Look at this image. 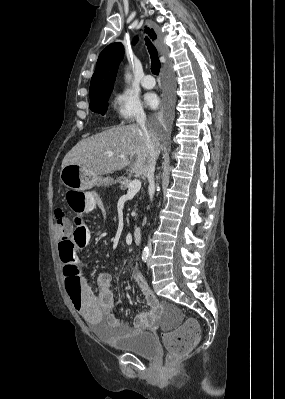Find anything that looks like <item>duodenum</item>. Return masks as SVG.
Here are the masks:
<instances>
[{
    "label": "duodenum",
    "instance_id": "duodenum-1",
    "mask_svg": "<svg viewBox=\"0 0 285 399\" xmlns=\"http://www.w3.org/2000/svg\"><path fill=\"white\" fill-rule=\"evenodd\" d=\"M144 233L143 230L139 227L135 228L133 231V239L135 243L140 244L143 240Z\"/></svg>",
    "mask_w": 285,
    "mask_h": 399
}]
</instances>
